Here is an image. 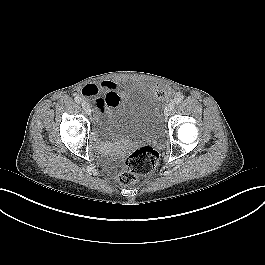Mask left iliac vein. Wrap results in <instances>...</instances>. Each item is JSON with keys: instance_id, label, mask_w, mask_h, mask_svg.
I'll return each mask as SVG.
<instances>
[{"instance_id": "left-iliac-vein-1", "label": "left iliac vein", "mask_w": 265, "mask_h": 265, "mask_svg": "<svg viewBox=\"0 0 265 265\" xmlns=\"http://www.w3.org/2000/svg\"><path fill=\"white\" fill-rule=\"evenodd\" d=\"M174 108L175 104L173 102L169 103L164 110L165 116L168 117L173 112Z\"/></svg>"}]
</instances>
